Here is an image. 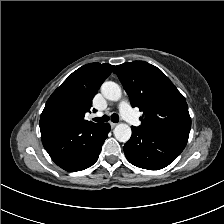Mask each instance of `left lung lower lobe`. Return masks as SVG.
<instances>
[{
  "mask_svg": "<svg viewBox=\"0 0 224 224\" xmlns=\"http://www.w3.org/2000/svg\"><path fill=\"white\" fill-rule=\"evenodd\" d=\"M188 140L167 133L132 126V136L124 145L127 160L140 168L159 170L172 163Z\"/></svg>",
  "mask_w": 224,
  "mask_h": 224,
  "instance_id": "1",
  "label": "left lung lower lobe"
}]
</instances>
